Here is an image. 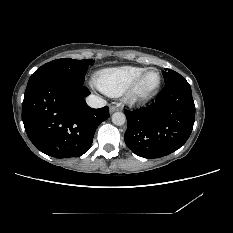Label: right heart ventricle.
Segmentation results:
<instances>
[{"label": "right heart ventricle", "instance_id": "obj_1", "mask_svg": "<svg viewBox=\"0 0 233 233\" xmlns=\"http://www.w3.org/2000/svg\"><path fill=\"white\" fill-rule=\"evenodd\" d=\"M146 68L139 66H120L101 70L97 76V86L105 94L121 96L133 80Z\"/></svg>", "mask_w": 233, "mask_h": 233}]
</instances>
